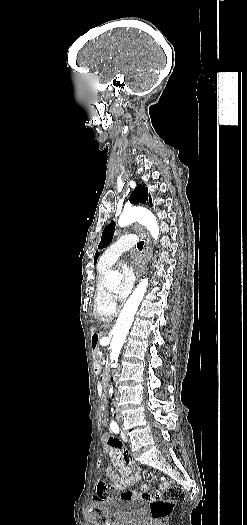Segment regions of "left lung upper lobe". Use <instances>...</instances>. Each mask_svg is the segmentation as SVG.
I'll list each match as a JSON object with an SVG mask.
<instances>
[{
  "mask_svg": "<svg viewBox=\"0 0 247 525\" xmlns=\"http://www.w3.org/2000/svg\"><path fill=\"white\" fill-rule=\"evenodd\" d=\"M147 200H149L150 203L152 202L151 196L148 193V189L147 187H145V184H139L137 188L135 189V191L132 193L130 201L132 204H139V203H146ZM114 230H115L114 222L110 223L108 226L104 228L102 237H101V241L98 246L99 249L105 248L112 241ZM98 257H99V252H96L95 257H94V264L96 263Z\"/></svg>",
  "mask_w": 247,
  "mask_h": 525,
  "instance_id": "1",
  "label": "left lung upper lobe"
}]
</instances>
